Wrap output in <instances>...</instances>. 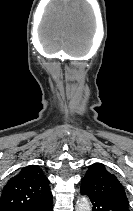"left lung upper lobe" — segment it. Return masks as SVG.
<instances>
[{
	"mask_svg": "<svg viewBox=\"0 0 133 211\" xmlns=\"http://www.w3.org/2000/svg\"><path fill=\"white\" fill-rule=\"evenodd\" d=\"M81 189L101 198L129 205L122 184L102 163L90 165L86 175L81 180Z\"/></svg>",
	"mask_w": 133,
	"mask_h": 211,
	"instance_id": "5c2ea615",
	"label": "left lung upper lobe"
}]
</instances>
